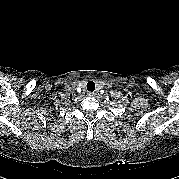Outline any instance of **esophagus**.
<instances>
[{
  "label": "esophagus",
  "mask_w": 179,
  "mask_h": 179,
  "mask_svg": "<svg viewBox=\"0 0 179 179\" xmlns=\"http://www.w3.org/2000/svg\"><path fill=\"white\" fill-rule=\"evenodd\" d=\"M87 96H89V97H93V96H95V94L92 93V92H88V93H87Z\"/></svg>",
  "instance_id": "1"
}]
</instances>
